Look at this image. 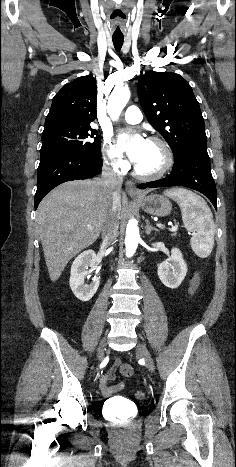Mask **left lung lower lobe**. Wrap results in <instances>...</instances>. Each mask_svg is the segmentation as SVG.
I'll use <instances>...</instances> for the list:
<instances>
[{
	"label": "left lung lower lobe",
	"instance_id": "0a47b994",
	"mask_svg": "<svg viewBox=\"0 0 236 467\" xmlns=\"http://www.w3.org/2000/svg\"><path fill=\"white\" fill-rule=\"evenodd\" d=\"M172 172L166 178L139 185L146 187L184 186L204 194L217 209V194L211 174L210 159L206 144H196L185 149L182 155L174 159Z\"/></svg>",
	"mask_w": 236,
	"mask_h": 467
}]
</instances>
